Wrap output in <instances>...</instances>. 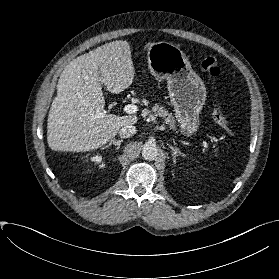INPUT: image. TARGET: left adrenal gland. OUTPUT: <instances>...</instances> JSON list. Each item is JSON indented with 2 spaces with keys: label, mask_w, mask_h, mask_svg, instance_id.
Listing matches in <instances>:
<instances>
[{
  "label": "left adrenal gland",
  "mask_w": 279,
  "mask_h": 279,
  "mask_svg": "<svg viewBox=\"0 0 279 279\" xmlns=\"http://www.w3.org/2000/svg\"><path fill=\"white\" fill-rule=\"evenodd\" d=\"M168 147L172 150V156H173V163H176V157L178 155L185 157V154L182 153L177 147H174L173 145L167 144Z\"/></svg>",
  "instance_id": "a2214340"
}]
</instances>
